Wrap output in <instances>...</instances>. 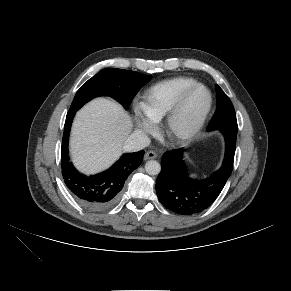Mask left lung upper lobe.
<instances>
[{
  "label": "left lung upper lobe",
  "instance_id": "obj_1",
  "mask_svg": "<svg viewBox=\"0 0 291 291\" xmlns=\"http://www.w3.org/2000/svg\"><path fill=\"white\" fill-rule=\"evenodd\" d=\"M216 92L217 109L209 123L208 128H213L220 125L238 127L236 114L232 102L218 85H216Z\"/></svg>",
  "mask_w": 291,
  "mask_h": 291
}]
</instances>
